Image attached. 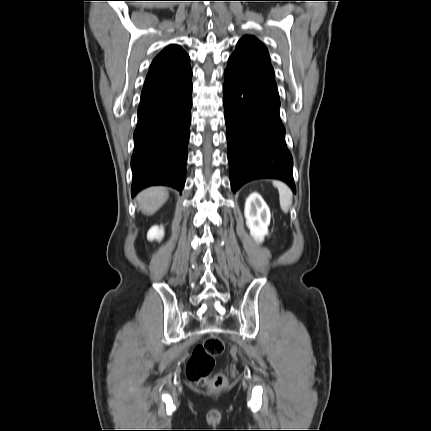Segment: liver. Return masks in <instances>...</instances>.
I'll use <instances>...</instances> for the list:
<instances>
[{"label":"liver","mask_w":431,"mask_h":431,"mask_svg":"<svg viewBox=\"0 0 431 431\" xmlns=\"http://www.w3.org/2000/svg\"><path fill=\"white\" fill-rule=\"evenodd\" d=\"M168 199V192L162 187H151L143 190L137 196V202L144 214L152 215Z\"/></svg>","instance_id":"1"}]
</instances>
